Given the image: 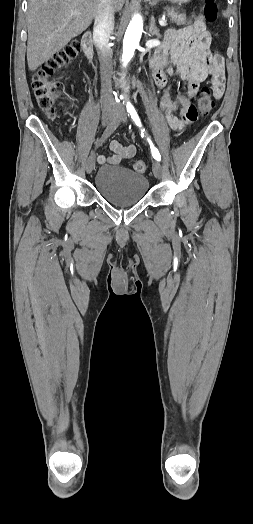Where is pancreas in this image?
Returning a JSON list of instances; mask_svg holds the SVG:
<instances>
[{
	"label": "pancreas",
	"mask_w": 253,
	"mask_h": 524,
	"mask_svg": "<svg viewBox=\"0 0 253 524\" xmlns=\"http://www.w3.org/2000/svg\"><path fill=\"white\" fill-rule=\"evenodd\" d=\"M166 12L173 23H176L177 25H184L186 23L185 13H181L178 11V9L174 7H168L166 8Z\"/></svg>",
	"instance_id": "1"
}]
</instances>
